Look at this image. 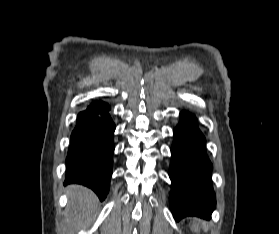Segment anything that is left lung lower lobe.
<instances>
[{"label": "left lung lower lobe", "mask_w": 279, "mask_h": 234, "mask_svg": "<svg viewBox=\"0 0 279 234\" xmlns=\"http://www.w3.org/2000/svg\"><path fill=\"white\" fill-rule=\"evenodd\" d=\"M181 122L174 130L171 148L169 201L176 220L186 216L209 219L215 209V193L211 184L212 164L205 150V137L196 118L180 114Z\"/></svg>", "instance_id": "1"}]
</instances>
